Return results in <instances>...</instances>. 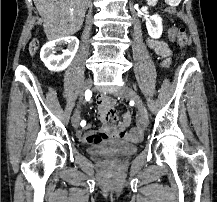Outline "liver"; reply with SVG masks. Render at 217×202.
Listing matches in <instances>:
<instances>
[{"label":"liver","mask_w":217,"mask_h":202,"mask_svg":"<svg viewBox=\"0 0 217 202\" xmlns=\"http://www.w3.org/2000/svg\"><path fill=\"white\" fill-rule=\"evenodd\" d=\"M47 40L67 38L80 30L88 0H33Z\"/></svg>","instance_id":"liver-1"}]
</instances>
